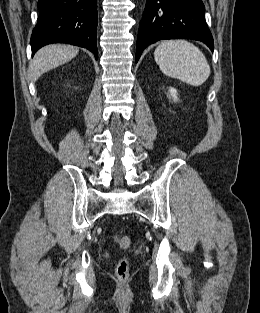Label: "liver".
I'll return each instance as SVG.
<instances>
[{"instance_id": "1", "label": "liver", "mask_w": 260, "mask_h": 313, "mask_svg": "<svg viewBox=\"0 0 260 313\" xmlns=\"http://www.w3.org/2000/svg\"><path fill=\"white\" fill-rule=\"evenodd\" d=\"M79 50L70 45L52 44L41 48L30 64V78L36 81L45 72L67 63L73 59Z\"/></svg>"}]
</instances>
